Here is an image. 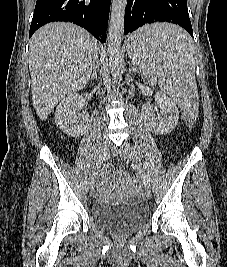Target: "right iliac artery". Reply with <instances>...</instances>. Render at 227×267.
Listing matches in <instances>:
<instances>
[{
    "label": "right iliac artery",
    "mask_w": 227,
    "mask_h": 267,
    "mask_svg": "<svg viewBox=\"0 0 227 267\" xmlns=\"http://www.w3.org/2000/svg\"><path fill=\"white\" fill-rule=\"evenodd\" d=\"M95 174H98L96 169L93 171V175H95Z\"/></svg>",
    "instance_id": "right-iliac-artery-1"
}]
</instances>
